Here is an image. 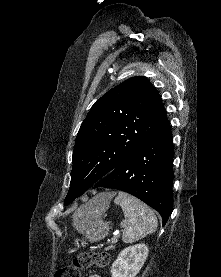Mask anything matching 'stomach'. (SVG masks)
I'll use <instances>...</instances> for the list:
<instances>
[{"label":"stomach","mask_w":221,"mask_h":277,"mask_svg":"<svg viewBox=\"0 0 221 277\" xmlns=\"http://www.w3.org/2000/svg\"><path fill=\"white\" fill-rule=\"evenodd\" d=\"M107 208L108 205H103L94 198L74 214L73 225L85 237L81 245L84 246L87 239L93 242L108 235L110 227L109 222L105 220ZM76 245L79 247L78 242Z\"/></svg>","instance_id":"1"}]
</instances>
